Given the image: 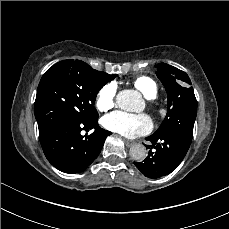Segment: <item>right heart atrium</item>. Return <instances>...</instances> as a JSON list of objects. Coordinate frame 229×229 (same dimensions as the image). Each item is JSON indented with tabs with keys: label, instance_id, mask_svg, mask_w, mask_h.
I'll list each match as a JSON object with an SVG mask.
<instances>
[{
	"label": "right heart atrium",
	"instance_id": "obj_1",
	"mask_svg": "<svg viewBox=\"0 0 229 229\" xmlns=\"http://www.w3.org/2000/svg\"><path fill=\"white\" fill-rule=\"evenodd\" d=\"M117 86L114 83L103 85L96 93L95 106L99 111H107L115 104Z\"/></svg>",
	"mask_w": 229,
	"mask_h": 229
}]
</instances>
